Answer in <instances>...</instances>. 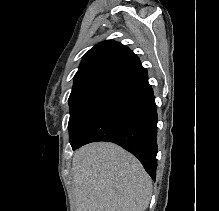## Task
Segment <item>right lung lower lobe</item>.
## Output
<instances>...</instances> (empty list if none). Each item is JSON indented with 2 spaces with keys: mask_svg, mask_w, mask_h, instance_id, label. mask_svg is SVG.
<instances>
[{
  "mask_svg": "<svg viewBox=\"0 0 219 211\" xmlns=\"http://www.w3.org/2000/svg\"><path fill=\"white\" fill-rule=\"evenodd\" d=\"M156 136L155 97L142 68L109 91L71 146L76 150L96 141L118 144L135 155L155 180Z\"/></svg>",
  "mask_w": 219,
  "mask_h": 211,
  "instance_id": "1",
  "label": "right lung lower lobe"
}]
</instances>
